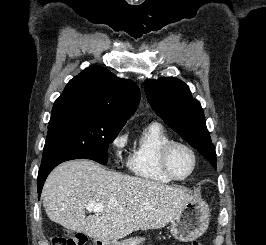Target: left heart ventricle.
Wrapping results in <instances>:
<instances>
[{"label":"left heart ventricle","mask_w":266,"mask_h":245,"mask_svg":"<svg viewBox=\"0 0 266 245\" xmlns=\"http://www.w3.org/2000/svg\"><path fill=\"white\" fill-rule=\"evenodd\" d=\"M169 162L172 171L179 178L188 175L193 167V157L191 153L180 146L172 150Z\"/></svg>","instance_id":"left-heart-ventricle-1"}]
</instances>
